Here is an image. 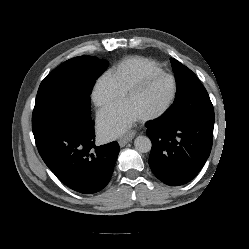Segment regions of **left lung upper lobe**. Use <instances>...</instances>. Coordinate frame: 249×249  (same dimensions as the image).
<instances>
[{"mask_svg": "<svg viewBox=\"0 0 249 249\" xmlns=\"http://www.w3.org/2000/svg\"><path fill=\"white\" fill-rule=\"evenodd\" d=\"M170 61L175 73L177 92L174 103L160 119L178 123L191 118L214 115L209 95L194 72L174 58Z\"/></svg>", "mask_w": 249, "mask_h": 249, "instance_id": "obj_1", "label": "left lung upper lobe"}]
</instances>
